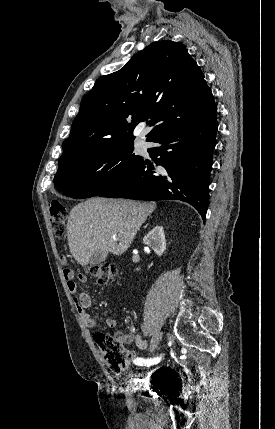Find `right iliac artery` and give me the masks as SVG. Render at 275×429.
<instances>
[{
  "label": "right iliac artery",
  "instance_id": "1",
  "mask_svg": "<svg viewBox=\"0 0 275 429\" xmlns=\"http://www.w3.org/2000/svg\"><path fill=\"white\" fill-rule=\"evenodd\" d=\"M162 356L159 357H154V358H150V359H144L141 357H137L134 359V364L139 365V366H151V365H155L157 363L160 362Z\"/></svg>",
  "mask_w": 275,
  "mask_h": 429
}]
</instances>
